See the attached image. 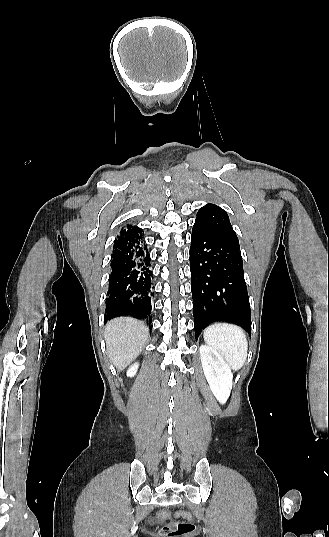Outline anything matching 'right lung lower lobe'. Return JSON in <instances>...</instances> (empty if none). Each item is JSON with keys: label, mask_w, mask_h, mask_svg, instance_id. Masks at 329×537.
Wrapping results in <instances>:
<instances>
[{"label": "right lung lower lobe", "mask_w": 329, "mask_h": 537, "mask_svg": "<svg viewBox=\"0 0 329 537\" xmlns=\"http://www.w3.org/2000/svg\"><path fill=\"white\" fill-rule=\"evenodd\" d=\"M142 234L140 230L114 242L105 321L133 316L146 320L149 326L152 322L153 275Z\"/></svg>", "instance_id": "1"}]
</instances>
